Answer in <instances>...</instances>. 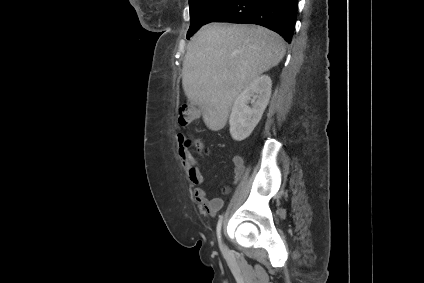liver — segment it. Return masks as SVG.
Instances as JSON below:
<instances>
[{"mask_svg":"<svg viewBox=\"0 0 424 283\" xmlns=\"http://www.w3.org/2000/svg\"><path fill=\"white\" fill-rule=\"evenodd\" d=\"M284 54L282 37L266 27L206 24L187 46L182 68L185 95L201 109L206 126L218 131L242 90L278 65Z\"/></svg>","mask_w":424,"mask_h":283,"instance_id":"obj_1","label":"liver"}]
</instances>
